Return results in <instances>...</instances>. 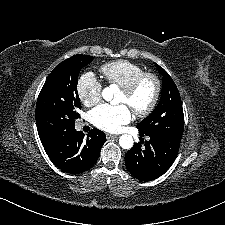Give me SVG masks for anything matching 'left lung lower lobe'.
Here are the masks:
<instances>
[{
  "mask_svg": "<svg viewBox=\"0 0 225 225\" xmlns=\"http://www.w3.org/2000/svg\"><path fill=\"white\" fill-rule=\"evenodd\" d=\"M140 135L143 136V133ZM145 135L150 140L145 142L144 147L140 143L134 144L125 154V165L137 179L152 181L171 167L178 155L181 139L167 134Z\"/></svg>",
  "mask_w": 225,
  "mask_h": 225,
  "instance_id": "obj_1",
  "label": "left lung lower lobe"
}]
</instances>
